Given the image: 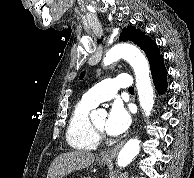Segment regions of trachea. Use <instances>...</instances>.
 <instances>
[{
  "label": "trachea",
  "instance_id": "trachea-1",
  "mask_svg": "<svg viewBox=\"0 0 194 178\" xmlns=\"http://www.w3.org/2000/svg\"><path fill=\"white\" fill-rule=\"evenodd\" d=\"M128 91H129V92H134V88H133V87H130V88L128 89Z\"/></svg>",
  "mask_w": 194,
  "mask_h": 178
}]
</instances>
